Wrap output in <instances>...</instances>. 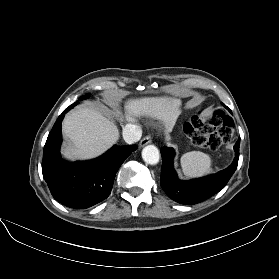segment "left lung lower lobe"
Returning <instances> with one entry per match:
<instances>
[{
    "mask_svg": "<svg viewBox=\"0 0 279 279\" xmlns=\"http://www.w3.org/2000/svg\"><path fill=\"white\" fill-rule=\"evenodd\" d=\"M188 123L184 125V130L188 128ZM240 138L234 146L235 158L232 164L213 175L189 181L178 179L173 166L175 152L173 148L163 147L161 149L162 168H161V187L172 200L180 204H197L222 190L238 165Z\"/></svg>",
    "mask_w": 279,
    "mask_h": 279,
    "instance_id": "obj_1",
    "label": "left lung lower lobe"
}]
</instances>
